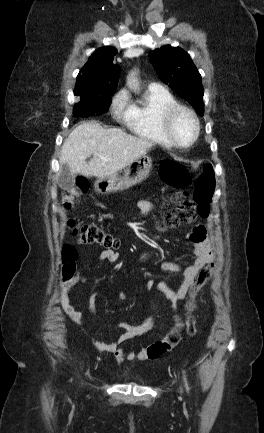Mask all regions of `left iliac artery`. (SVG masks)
<instances>
[{"instance_id":"44dca946","label":"left iliac artery","mask_w":264,"mask_h":433,"mask_svg":"<svg viewBox=\"0 0 264 433\" xmlns=\"http://www.w3.org/2000/svg\"><path fill=\"white\" fill-rule=\"evenodd\" d=\"M184 380H185L186 388H187V390H188V384H187V381H186L185 376H184Z\"/></svg>"}]
</instances>
